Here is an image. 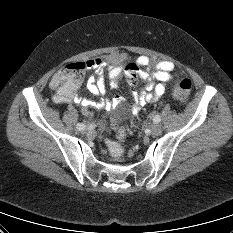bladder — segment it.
<instances>
[{
  "label": "bladder",
  "instance_id": "31cf9c89",
  "mask_svg": "<svg viewBox=\"0 0 233 233\" xmlns=\"http://www.w3.org/2000/svg\"><path fill=\"white\" fill-rule=\"evenodd\" d=\"M125 116H126V113L124 112V113H120V114H116V115H114L113 117H112V119H111V123H117V122H120V121H122L124 118H125Z\"/></svg>",
  "mask_w": 233,
  "mask_h": 233
}]
</instances>
